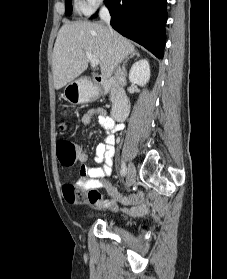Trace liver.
Here are the masks:
<instances>
[{"instance_id": "obj_1", "label": "liver", "mask_w": 227, "mask_h": 279, "mask_svg": "<svg viewBox=\"0 0 227 279\" xmlns=\"http://www.w3.org/2000/svg\"><path fill=\"white\" fill-rule=\"evenodd\" d=\"M134 51L128 39L103 23H66L58 32L52 54L54 87L63 88L87 69L86 52L99 59L102 76L110 78L118 63Z\"/></svg>"}]
</instances>
